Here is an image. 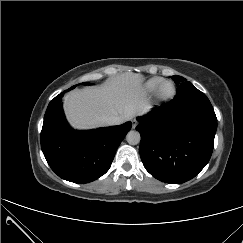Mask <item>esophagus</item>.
Wrapping results in <instances>:
<instances>
[{
	"mask_svg": "<svg viewBox=\"0 0 243 243\" xmlns=\"http://www.w3.org/2000/svg\"><path fill=\"white\" fill-rule=\"evenodd\" d=\"M137 125H138V121L135 120V119H133V120H132V128L135 129Z\"/></svg>",
	"mask_w": 243,
	"mask_h": 243,
	"instance_id": "esophagus-1",
	"label": "esophagus"
}]
</instances>
